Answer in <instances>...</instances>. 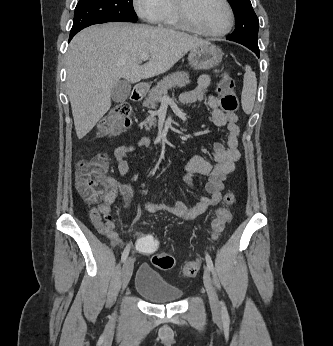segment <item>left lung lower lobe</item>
<instances>
[{"mask_svg":"<svg viewBox=\"0 0 333 346\" xmlns=\"http://www.w3.org/2000/svg\"><path fill=\"white\" fill-rule=\"evenodd\" d=\"M250 50H252L254 53H256V55L259 57V48L258 47H253V46H249L247 47Z\"/></svg>","mask_w":333,"mask_h":346,"instance_id":"0a47b994","label":"left lung lower lobe"}]
</instances>
